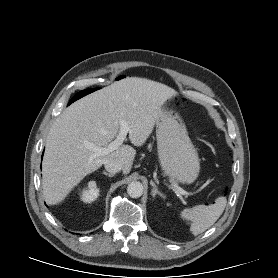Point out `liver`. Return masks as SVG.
Here are the masks:
<instances>
[{"instance_id":"6515ba94","label":"liver","mask_w":278,"mask_h":278,"mask_svg":"<svg viewBox=\"0 0 278 278\" xmlns=\"http://www.w3.org/2000/svg\"><path fill=\"white\" fill-rule=\"evenodd\" d=\"M174 89L145 78L127 77L93 92L67 107L56 119L46 138L42 162L43 194L49 205L61 203L88 174L107 160L132 168L136 150L121 145L108 155L94 156L91 144L107 147L128 124L129 140L143 145L153 131L163 104L176 97Z\"/></svg>"}]
</instances>
